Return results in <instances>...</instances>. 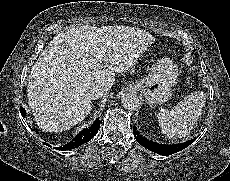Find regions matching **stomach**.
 I'll use <instances>...</instances> for the list:
<instances>
[{
  "mask_svg": "<svg viewBox=\"0 0 230 181\" xmlns=\"http://www.w3.org/2000/svg\"><path fill=\"white\" fill-rule=\"evenodd\" d=\"M177 75V67L173 61L164 58L152 68L148 77L136 82L135 88L144 95L150 106H156L171 97L172 85Z\"/></svg>",
  "mask_w": 230,
  "mask_h": 181,
  "instance_id": "obj_1",
  "label": "stomach"
}]
</instances>
